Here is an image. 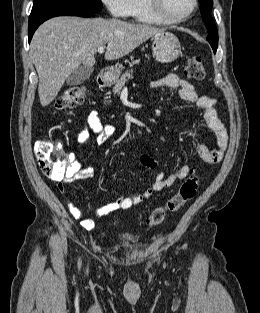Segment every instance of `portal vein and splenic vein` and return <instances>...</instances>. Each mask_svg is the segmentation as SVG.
I'll list each match as a JSON object with an SVG mask.
<instances>
[{"label": "portal vein and splenic vein", "mask_w": 260, "mask_h": 313, "mask_svg": "<svg viewBox=\"0 0 260 313\" xmlns=\"http://www.w3.org/2000/svg\"><path fill=\"white\" fill-rule=\"evenodd\" d=\"M104 50H105V46H100V47L98 48V52H99V53H103Z\"/></svg>", "instance_id": "obj_1"}]
</instances>
